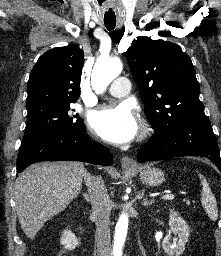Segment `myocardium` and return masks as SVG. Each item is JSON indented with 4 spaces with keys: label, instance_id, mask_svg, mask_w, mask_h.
Listing matches in <instances>:
<instances>
[{
    "label": "myocardium",
    "instance_id": "f54148a6",
    "mask_svg": "<svg viewBox=\"0 0 221 256\" xmlns=\"http://www.w3.org/2000/svg\"><path fill=\"white\" fill-rule=\"evenodd\" d=\"M152 128L149 123L143 121L141 125L140 139H145L151 133Z\"/></svg>",
    "mask_w": 221,
    "mask_h": 256
}]
</instances>
